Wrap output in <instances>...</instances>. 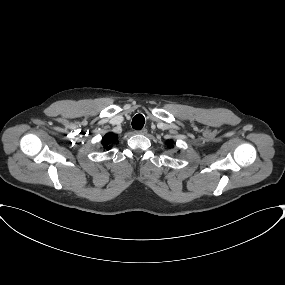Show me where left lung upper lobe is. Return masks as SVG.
Segmentation results:
<instances>
[{
	"instance_id": "obj_1",
	"label": "left lung upper lobe",
	"mask_w": 285,
	"mask_h": 285,
	"mask_svg": "<svg viewBox=\"0 0 285 285\" xmlns=\"http://www.w3.org/2000/svg\"><path fill=\"white\" fill-rule=\"evenodd\" d=\"M167 145H168L169 148H171V147L173 146L172 141H171V140H170V141H167Z\"/></svg>"
}]
</instances>
